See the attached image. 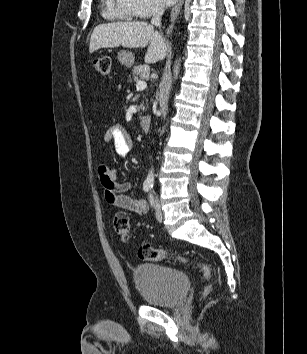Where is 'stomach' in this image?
Returning <instances> with one entry per match:
<instances>
[{
	"mask_svg": "<svg viewBox=\"0 0 307 354\" xmlns=\"http://www.w3.org/2000/svg\"><path fill=\"white\" fill-rule=\"evenodd\" d=\"M117 59L122 65L128 68L134 64V56L129 51H120L117 55Z\"/></svg>",
	"mask_w": 307,
	"mask_h": 354,
	"instance_id": "stomach-1",
	"label": "stomach"
}]
</instances>
